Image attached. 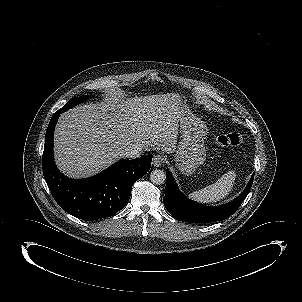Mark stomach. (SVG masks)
I'll return each mask as SVG.
<instances>
[{
	"instance_id": "1",
	"label": "stomach",
	"mask_w": 302,
	"mask_h": 302,
	"mask_svg": "<svg viewBox=\"0 0 302 302\" xmlns=\"http://www.w3.org/2000/svg\"><path fill=\"white\" fill-rule=\"evenodd\" d=\"M186 98L180 96L178 121L181 141L176 149L175 162L177 169L185 176L192 175L206 159L204 141L207 136L206 124L194 116L186 107Z\"/></svg>"
}]
</instances>
